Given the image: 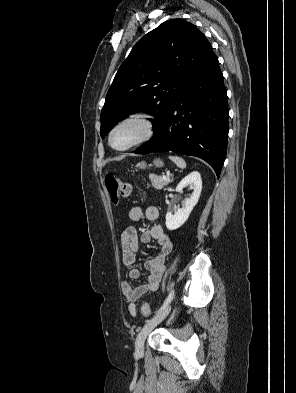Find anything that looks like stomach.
Masks as SVG:
<instances>
[{
  "instance_id": "1",
  "label": "stomach",
  "mask_w": 296,
  "mask_h": 393,
  "mask_svg": "<svg viewBox=\"0 0 296 393\" xmlns=\"http://www.w3.org/2000/svg\"><path fill=\"white\" fill-rule=\"evenodd\" d=\"M153 164H154L156 167H162V166L164 165L163 161L160 160V159H155L154 162H153ZM137 167H139V168H141V169H145V168L147 167V164H146V162L142 161V162H140V163L137 164Z\"/></svg>"
}]
</instances>
